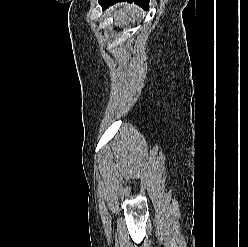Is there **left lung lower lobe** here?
<instances>
[{"label": "left lung lower lobe", "instance_id": "obj_1", "mask_svg": "<svg viewBox=\"0 0 248 247\" xmlns=\"http://www.w3.org/2000/svg\"><path fill=\"white\" fill-rule=\"evenodd\" d=\"M121 1H127L129 3H136L137 5L147 9L149 5V0H99L100 5L103 7V9L108 8L110 5H113L117 2Z\"/></svg>", "mask_w": 248, "mask_h": 247}]
</instances>
